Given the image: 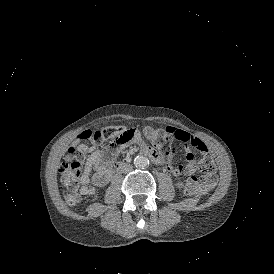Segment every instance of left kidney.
I'll list each match as a JSON object with an SVG mask.
<instances>
[{
  "label": "left kidney",
  "mask_w": 274,
  "mask_h": 274,
  "mask_svg": "<svg viewBox=\"0 0 274 274\" xmlns=\"http://www.w3.org/2000/svg\"><path fill=\"white\" fill-rule=\"evenodd\" d=\"M177 186L179 187V188H181V187H183V184L182 183H177Z\"/></svg>",
  "instance_id": "obj_1"
}]
</instances>
